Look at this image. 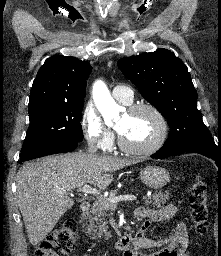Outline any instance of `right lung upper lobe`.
<instances>
[{"mask_svg":"<svg viewBox=\"0 0 221 256\" xmlns=\"http://www.w3.org/2000/svg\"><path fill=\"white\" fill-rule=\"evenodd\" d=\"M92 70L89 62L56 55L41 66L30 92L28 110L84 102L86 80Z\"/></svg>","mask_w":221,"mask_h":256,"instance_id":"cb5924a9","label":"right lung upper lobe"}]
</instances>
